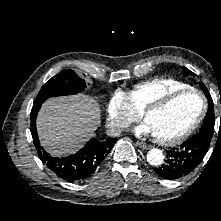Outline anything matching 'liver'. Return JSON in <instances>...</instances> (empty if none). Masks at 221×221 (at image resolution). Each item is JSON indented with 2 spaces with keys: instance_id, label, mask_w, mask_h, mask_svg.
I'll use <instances>...</instances> for the list:
<instances>
[{
  "instance_id": "1",
  "label": "liver",
  "mask_w": 221,
  "mask_h": 221,
  "mask_svg": "<svg viewBox=\"0 0 221 221\" xmlns=\"http://www.w3.org/2000/svg\"><path fill=\"white\" fill-rule=\"evenodd\" d=\"M100 108L85 94L48 99L37 116V131L52 156L75 153L94 136L100 124Z\"/></svg>"
}]
</instances>
